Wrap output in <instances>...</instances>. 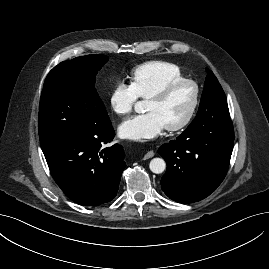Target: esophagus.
I'll return each mask as SVG.
<instances>
[{
  "label": "esophagus",
  "instance_id": "esophagus-1",
  "mask_svg": "<svg viewBox=\"0 0 269 269\" xmlns=\"http://www.w3.org/2000/svg\"><path fill=\"white\" fill-rule=\"evenodd\" d=\"M155 155V153L153 151H148L145 155H144V159H149L152 158Z\"/></svg>",
  "mask_w": 269,
  "mask_h": 269
}]
</instances>
